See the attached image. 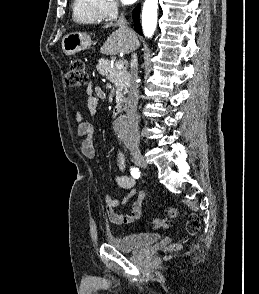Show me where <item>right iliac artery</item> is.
I'll return each instance as SVG.
<instances>
[{
  "label": "right iliac artery",
  "instance_id": "82829eb1",
  "mask_svg": "<svg viewBox=\"0 0 259 294\" xmlns=\"http://www.w3.org/2000/svg\"><path fill=\"white\" fill-rule=\"evenodd\" d=\"M131 175H132L134 178L138 179V178L140 177V171H139V169L136 168V167H132V168H131Z\"/></svg>",
  "mask_w": 259,
  "mask_h": 294
}]
</instances>
